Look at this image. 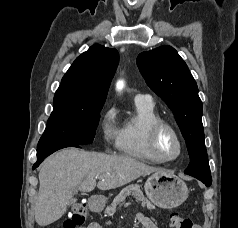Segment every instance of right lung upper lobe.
Here are the masks:
<instances>
[{"label":"right lung upper lobe","instance_id":"right-lung-upper-lobe-1","mask_svg":"<svg viewBox=\"0 0 238 228\" xmlns=\"http://www.w3.org/2000/svg\"><path fill=\"white\" fill-rule=\"evenodd\" d=\"M118 63L115 49L97 44L81 54L62 78L54 96L53 112L88 110L104 104Z\"/></svg>","mask_w":238,"mask_h":228}]
</instances>
